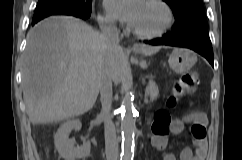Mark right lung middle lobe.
<instances>
[{"mask_svg":"<svg viewBox=\"0 0 242 160\" xmlns=\"http://www.w3.org/2000/svg\"><path fill=\"white\" fill-rule=\"evenodd\" d=\"M91 10L92 0H38L32 21L58 14L88 17Z\"/></svg>","mask_w":242,"mask_h":160,"instance_id":"dd1d6c3e","label":"right lung middle lobe"}]
</instances>
